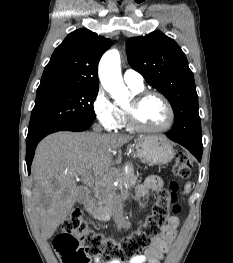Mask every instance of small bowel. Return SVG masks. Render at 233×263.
Returning <instances> with one entry per match:
<instances>
[{"instance_id":"obj_1","label":"small bowel","mask_w":233,"mask_h":263,"mask_svg":"<svg viewBox=\"0 0 233 263\" xmlns=\"http://www.w3.org/2000/svg\"><path fill=\"white\" fill-rule=\"evenodd\" d=\"M162 187L159 177L148 176L142 184L136 188V197L143 199L149 192L157 193ZM180 220L177 216L169 218L161 231V235L155 238L144 254L127 261L112 259L109 261L95 258L92 263H161L164 256L169 252L170 243L174 240Z\"/></svg>"}]
</instances>
